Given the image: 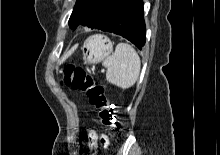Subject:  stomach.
Masks as SVG:
<instances>
[{"label":"stomach","mask_w":220,"mask_h":155,"mask_svg":"<svg viewBox=\"0 0 220 155\" xmlns=\"http://www.w3.org/2000/svg\"><path fill=\"white\" fill-rule=\"evenodd\" d=\"M113 50V44L107 36L93 35L83 46V56L86 62H99L107 57Z\"/></svg>","instance_id":"stomach-1"}]
</instances>
